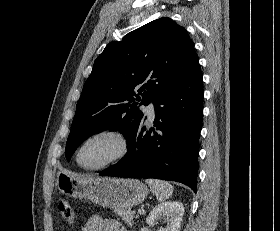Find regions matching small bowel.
I'll return each instance as SVG.
<instances>
[{
	"label": "small bowel",
	"instance_id": "1",
	"mask_svg": "<svg viewBox=\"0 0 280 231\" xmlns=\"http://www.w3.org/2000/svg\"><path fill=\"white\" fill-rule=\"evenodd\" d=\"M81 231H126V229L114 219H104L99 215H93L82 226Z\"/></svg>",
	"mask_w": 280,
	"mask_h": 231
}]
</instances>
